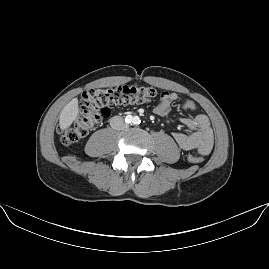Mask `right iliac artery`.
I'll list each match as a JSON object with an SVG mask.
<instances>
[{
    "mask_svg": "<svg viewBox=\"0 0 269 269\" xmlns=\"http://www.w3.org/2000/svg\"><path fill=\"white\" fill-rule=\"evenodd\" d=\"M133 121V118L131 115H127L126 118H125V122L126 123H131Z\"/></svg>",
    "mask_w": 269,
    "mask_h": 269,
    "instance_id": "right-iliac-artery-1",
    "label": "right iliac artery"
}]
</instances>
